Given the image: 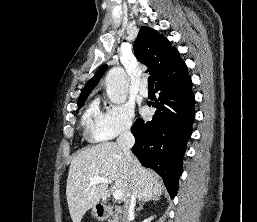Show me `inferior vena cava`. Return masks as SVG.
Returning <instances> with one entry per match:
<instances>
[{"instance_id": "inferior-vena-cava-1", "label": "inferior vena cava", "mask_w": 257, "mask_h": 222, "mask_svg": "<svg viewBox=\"0 0 257 222\" xmlns=\"http://www.w3.org/2000/svg\"><path fill=\"white\" fill-rule=\"evenodd\" d=\"M135 143V138L130 131V126H126L123 131L120 133L119 137L117 138V144L121 148L124 156L126 157L127 162L131 166V171L133 177L135 176V170L133 167V155L131 153V148ZM136 203V193L135 191L132 192L130 199L125 201L124 205V218L123 222H127V218L130 214L134 213V207Z\"/></svg>"}]
</instances>
